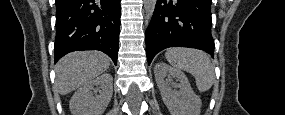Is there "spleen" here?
<instances>
[{"label": "spleen", "instance_id": "3e777b00", "mask_svg": "<svg viewBox=\"0 0 285 115\" xmlns=\"http://www.w3.org/2000/svg\"><path fill=\"white\" fill-rule=\"evenodd\" d=\"M165 57L175 69L192 74L200 92H206L213 86L214 66L205 52L191 48H170Z\"/></svg>", "mask_w": 285, "mask_h": 115}]
</instances>
